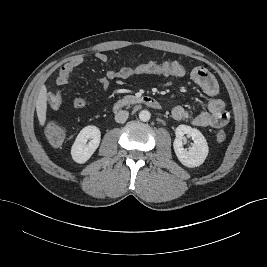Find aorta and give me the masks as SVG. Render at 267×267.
Here are the masks:
<instances>
[{"instance_id":"1","label":"aorta","mask_w":267,"mask_h":267,"mask_svg":"<svg viewBox=\"0 0 267 267\" xmlns=\"http://www.w3.org/2000/svg\"><path fill=\"white\" fill-rule=\"evenodd\" d=\"M139 118L141 121L143 122H147L150 120L151 118V113L148 111V110H142L140 113H139Z\"/></svg>"}]
</instances>
